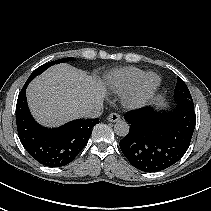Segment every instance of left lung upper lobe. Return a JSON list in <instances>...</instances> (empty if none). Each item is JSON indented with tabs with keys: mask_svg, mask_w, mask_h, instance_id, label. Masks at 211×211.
I'll return each mask as SVG.
<instances>
[{
	"mask_svg": "<svg viewBox=\"0 0 211 211\" xmlns=\"http://www.w3.org/2000/svg\"><path fill=\"white\" fill-rule=\"evenodd\" d=\"M174 100L178 104H186L194 107L189 89L180 77H177V84L174 91Z\"/></svg>",
	"mask_w": 211,
	"mask_h": 211,
	"instance_id": "obj_1",
	"label": "left lung upper lobe"
}]
</instances>
